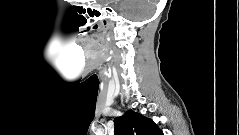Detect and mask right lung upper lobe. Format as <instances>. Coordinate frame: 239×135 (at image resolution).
<instances>
[{
    "label": "right lung upper lobe",
    "instance_id": "1",
    "mask_svg": "<svg viewBox=\"0 0 239 135\" xmlns=\"http://www.w3.org/2000/svg\"><path fill=\"white\" fill-rule=\"evenodd\" d=\"M115 135H163L153 120L142 116L133 110L114 120Z\"/></svg>",
    "mask_w": 239,
    "mask_h": 135
}]
</instances>
